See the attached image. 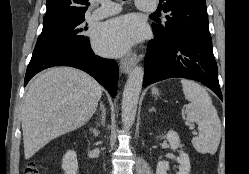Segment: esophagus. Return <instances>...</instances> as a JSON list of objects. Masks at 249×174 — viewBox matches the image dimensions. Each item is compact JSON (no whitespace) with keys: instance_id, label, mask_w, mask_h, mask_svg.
<instances>
[{"instance_id":"obj_1","label":"esophagus","mask_w":249,"mask_h":174,"mask_svg":"<svg viewBox=\"0 0 249 174\" xmlns=\"http://www.w3.org/2000/svg\"><path fill=\"white\" fill-rule=\"evenodd\" d=\"M137 61L138 57L135 53H131L127 57L122 58L120 61V65L123 73L129 74Z\"/></svg>"}]
</instances>
